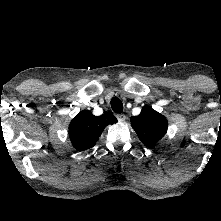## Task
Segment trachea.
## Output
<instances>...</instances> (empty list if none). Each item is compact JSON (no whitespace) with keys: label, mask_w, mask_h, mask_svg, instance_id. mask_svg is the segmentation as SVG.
<instances>
[{"label":"trachea","mask_w":221,"mask_h":221,"mask_svg":"<svg viewBox=\"0 0 221 221\" xmlns=\"http://www.w3.org/2000/svg\"><path fill=\"white\" fill-rule=\"evenodd\" d=\"M111 108L115 113H121L123 111V104L119 98L114 97L111 99Z\"/></svg>","instance_id":"obj_1"}]
</instances>
